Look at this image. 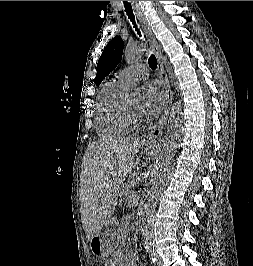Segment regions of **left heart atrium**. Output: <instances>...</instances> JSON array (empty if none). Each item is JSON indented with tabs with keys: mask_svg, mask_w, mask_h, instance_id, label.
Segmentation results:
<instances>
[{
	"mask_svg": "<svg viewBox=\"0 0 253 266\" xmlns=\"http://www.w3.org/2000/svg\"><path fill=\"white\" fill-rule=\"evenodd\" d=\"M166 93L156 82H149L143 86L139 110L147 117H154L166 105Z\"/></svg>",
	"mask_w": 253,
	"mask_h": 266,
	"instance_id": "obj_1",
	"label": "left heart atrium"
}]
</instances>
